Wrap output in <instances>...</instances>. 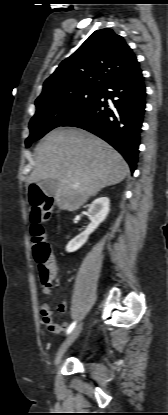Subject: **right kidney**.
I'll return each instance as SVG.
<instances>
[{
    "mask_svg": "<svg viewBox=\"0 0 168 415\" xmlns=\"http://www.w3.org/2000/svg\"><path fill=\"white\" fill-rule=\"evenodd\" d=\"M110 200L107 197L96 199L89 206L87 216L91 223L78 236L73 238L66 246L67 252H74L83 246L91 233L106 219L109 213Z\"/></svg>",
    "mask_w": 168,
    "mask_h": 415,
    "instance_id": "ca27d5eb",
    "label": "right kidney"
}]
</instances>
